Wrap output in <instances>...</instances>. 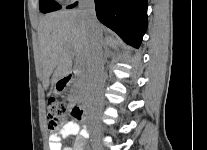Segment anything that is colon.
<instances>
[{"label": "colon", "instance_id": "colon-1", "mask_svg": "<svg viewBox=\"0 0 207 150\" xmlns=\"http://www.w3.org/2000/svg\"><path fill=\"white\" fill-rule=\"evenodd\" d=\"M46 108L50 128L56 127L68 110L67 104L56 98H49L46 103ZM73 116L77 119L81 118V114L77 109L73 110Z\"/></svg>", "mask_w": 207, "mask_h": 150}]
</instances>
